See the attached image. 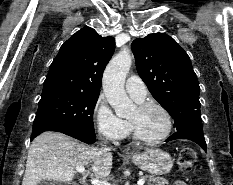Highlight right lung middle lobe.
<instances>
[{
	"label": "right lung middle lobe",
	"mask_w": 233,
	"mask_h": 185,
	"mask_svg": "<svg viewBox=\"0 0 233 185\" xmlns=\"http://www.w3.org/2000/svg\"><path fill=\"white\" fill-rule=\"evenodd\" d=\"M98 97L64 90L42 92L31 140L46 130L95 134L93 111Z\"/></svg>",
	"instance_id": "obj_1"
}]
</instances>
